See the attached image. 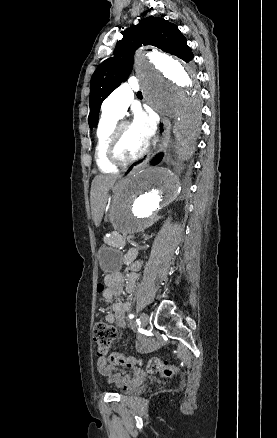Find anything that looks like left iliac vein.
<instances>
[{"label":"left iliac vein","mask_w":277,"mask_h":438,"mask_svg":"<svg viewBox=\"0 0 277 438\" xmlns=\"http://www.w3.org/2000/svg\"><path fill=\"white\" fill-rule=\"evenodd\" d=\"M140 320L143 327H146L150 321L149 316L146 313L141 314Z\"/></svg>","instance_id":"4c4485c4"}]
</instances>
